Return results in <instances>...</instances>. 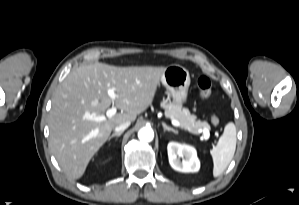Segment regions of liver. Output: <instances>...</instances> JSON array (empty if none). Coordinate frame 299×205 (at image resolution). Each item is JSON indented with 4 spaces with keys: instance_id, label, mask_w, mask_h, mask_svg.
<instances>
[{
    "instance_id": "6515ba94",
    "label": "liver",
    "mask_w": 299,
    "mask_h": 205,
    "mask_svg": "<svg viewBox=\"0 0 299 205\" xmlns=\"http://www.w3.org/2000/svg\"><path fill=\"white\" fill-rule=\"evenodd\" d=\"M164 70L96 62L78 67L64 79L52 99L49 146L68 177H82L111 131L123 122L135 121L152 104ZM108 89H114L115 101ZM111 104L120 112L108 118L105 112ZM96 116L105 120L96 121Z\"/></svg>"
}]
</instances>
